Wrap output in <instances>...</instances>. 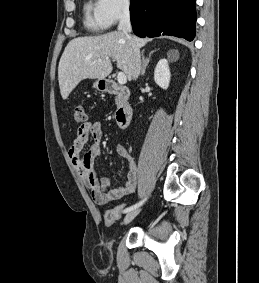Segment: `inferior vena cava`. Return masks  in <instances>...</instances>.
Masks as SVG:
<instances>
[{"mask_svg":"<svg viewBox=\"0 0 259 283\" xmlns=\"http://www.w3.org/2000/svg\"><path fill=\"white\" fill-rule=\"evenodd\" d=\"M118 30L125 34L127 38L130 39V33L132 31L130 22V12L128 7H124L120 15V21L118 25ZM133 48V79H137L141 70L140 52L132 45Z\"/></svg>","mask_w":259,"mask_h":283,"instance_id":"obj_1","label":"inferior vena cava"}]
</instances>
